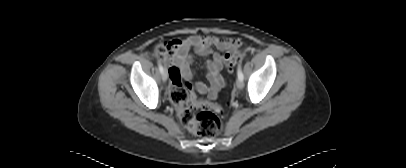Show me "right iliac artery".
<instances>
[{"mask_svg": "<svg viewBox=\"0 0 406 168\" xmlns=\"http://www.w3.org/2000/svg\"><path fill=\"white\" fill-rule=\"evenodd\" d=\"M158 68H159L160 72L162 73V72H163V70H164V68H163V66L161 65V63H160V62H158Z\"/></svg>", "mask_w": 406, "mask_h": 168, "instance_id": "1", "label": "right iliac artery"}]
</instances>
